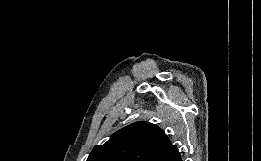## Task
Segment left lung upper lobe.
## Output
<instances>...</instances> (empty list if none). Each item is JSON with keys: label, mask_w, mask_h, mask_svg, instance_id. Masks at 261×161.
I'll return each mask as SVG.
<instances>
[{"label": "left lung upper lobe", "mask_w": 261, "mask_h": 161, "mask_svg": "<svg viewBox=\"0 0 261 161\" xmlns=\"http://www.w3.org/2000/svg\"><path fill=\"white\" fill-rule=\"evenodd\" d=\"M169 145L158 126L140 121L118 130L104 145H96L87 161H152Z\"/></svg>", "instance_id": "obj_1"}]
</instances>
